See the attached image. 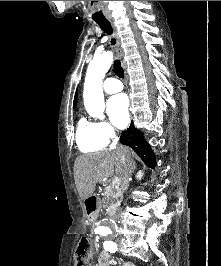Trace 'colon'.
I'll list each match as a JSON object with an SVG mask.
<instances>
[{
  "label": "colon",
  "mask_w": 221,
  "mask_h": 266,
  "mask_svg": "<svg viewBox=\"0 0 221 266\" xmlns=\"http://www.w3.org/2000/svg\"><path fill=\"white\" fill-rule=\"evenodd\" d=\"M92 251L89 238L80 239L76 249L75 266H91Z\"/></svg>",
  "instance_id": "1"
}]
</instances>
